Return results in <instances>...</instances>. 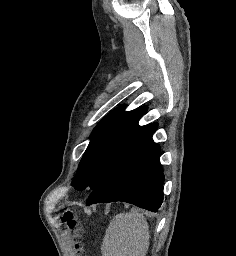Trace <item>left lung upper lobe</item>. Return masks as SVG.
<instances>
[{
  "label": "left lung upper lobe",
  "instance_id": "left-lung-upper-lobe-1",
  "mask_svg": "<svg viewBox=\"0 0 236 256\" xmlns=\"http://www.w3.org/2000/svg\"><path fill=\"white\" fill-rule=\"evenodd\" d=\"M146 111V107L129 112L116 109L99 122L72 181L76 190L87 187L93 190L109 174L131 139L143 127L138 121Z\"/></svg>",
  "mask_w": 236,
  "mask_h": 256
}]
</instances>
